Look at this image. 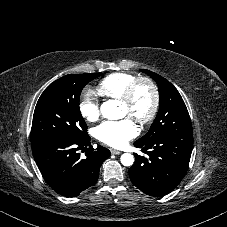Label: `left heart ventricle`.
<instances>
[{
    "label": "left heart ventricle",
    "mask_w": 227,
    "mask_h": 227,
    "mask_svg": "<svg viewBox=\"0 0 227 227\" xmlns=\"http://www.w3.org/2000/svg\"><path fill=\"white\" fill-rule=\"evenodd\" d=\"M152 105V92L147 85H141L137 91L135 100L131 106L120 103V111L122 117H130L137 120L145 116Z\"/></svg>",
    "instance_id": "1"
}]
</instances>
